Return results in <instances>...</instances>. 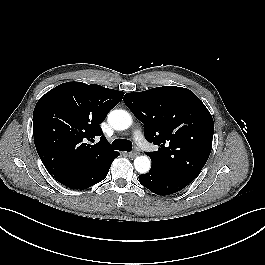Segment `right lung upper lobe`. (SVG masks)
Instances as JSON below:
<instances>
[{
  "label": "right lung upper lobe",
  "mask_w": 265,
  "mask_h": 265,
  "mask_svg": "<svg viewBox=\"0 0 265 265\" xmlns=\"http://www.w3.org/2000/svg\"><path fill=\"white\" fill-rule=\"evenodd\" d=\"M123 96L100 85L67 82L40 98L33 112L34 143L53 178L101 167L119 154L110 149L100 124Z\"/></svg>",
  "instance_id": "right-lung-upper-lobe-1"
}]
</instances>
